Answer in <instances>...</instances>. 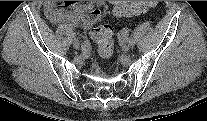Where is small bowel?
<instances>
[{"label": "small bowel", "mask_w": 207, "mask_h": 121, "mask_svg": "<svg viewBox=\"0 0 207 121\" xmlns=\"http://www.w3.org/2000/svg\"><path fill=\"white\" fill-rule=\"evenodd\" d=\"M118 2H112L115 6ZM103 2L56 1L44 2V13L52 23L76 27L82 24L88 28L99 22L102 17L100 7Z\"/></svg>", "instance_id": "small-bowel-1"}]
</instances>
